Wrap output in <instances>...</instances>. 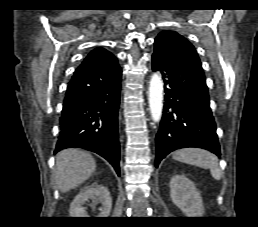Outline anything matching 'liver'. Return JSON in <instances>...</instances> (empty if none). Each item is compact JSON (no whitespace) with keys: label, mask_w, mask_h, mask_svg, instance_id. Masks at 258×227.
Returning a JSON list of instances; mask_svg holds the SVG:
<instances>
[{"label":"liver","mask_w":258,"mask_h":227,"mask_svg":"<svg viewBox=\"0 0 258 227\" xmlns=\"http://www.w3.org/2000/svg\"><path fill=\"white\" fill-rule=\"evenodd\" d=\"M96 162L89 152L66 149L56 157L55 181L61 192H67L87 180L95 171Z\"/></svg>","instance_id":"1"}]
</instances>
